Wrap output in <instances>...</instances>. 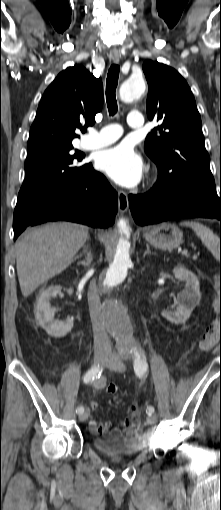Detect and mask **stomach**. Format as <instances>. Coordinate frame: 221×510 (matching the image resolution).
Masks as SVG:
<instances>
[{"instance_id":"obj_1","label":"stomach","mask_w":221,"mask_h":510,"mask_svg":"<svg viewBox=\"0 0 221 510\" xmlns=\"http://www.w3.org/2000/svg\"><path fill=\"white\" fill-rule=\"evenodd\" d=\"M144 237L150 244L163 250H172L183 242L182 231L170 223L154 226Z\"/></svg>"}]
</instances>
